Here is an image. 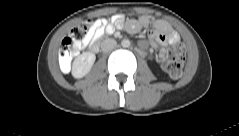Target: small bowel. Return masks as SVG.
<instances>
[{
  "label": "small bowel",
  "instance_id": "c3829d8e",
  "mask_svg": "<svg viewBox=\"0 0 239 136\" xmlns=\"http://www.w3.org/2000/svg\"><path fill=\"white\" fill-rule=\"evenodd\" d=\"M132 34L138 33L142 27L152 26L153 31L149 33V38L157 43H177L180 40L178 33L171 28L168 22L164 20L152 21L148 16H140L125 21L123 15H116L111 20H97L89 35L77 45L78 50L86 48L92 41L99 37L103 32L113 33L116 29L124 27ZM142 45H146L142 42ZM167 56V50L162 47L159 49L157 58L163 62Z\"/></svg>",
  "mask_w": 239,
  "mask_h": 136
}]
</instances>
